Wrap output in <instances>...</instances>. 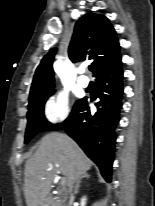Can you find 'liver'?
I'll return each mask as SVG.
<instances>
[{"instance_id": "obj_1", "label": "liver", "mask_w": 155, "mask_h": 206, "mask_svg": "<svg viewBox=\"0 0 155 206\" xmlns=\"http://www.w3.org/2000/svg\"><path fill=\"white\" fill-rule=\"evenodd\" d=\"M91 166V160L70 137L57 132L45 135L25 165L27 206H40L46 200L58 171L64 175L65 185L72 189L76 180Z\"/></svg>"}]
</instances>
